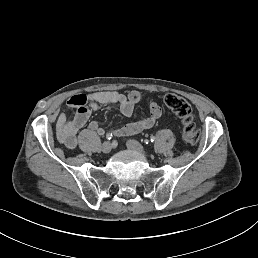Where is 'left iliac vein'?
<instances>
[{
	"label": "left iliac vein",
	"instance_id": "obj_1",
	"mask_svg": "<svg viewBox=\"0 0 258 258\" xmlns=\"http://www.w3.org/2000/svg\"><path fill=\"white\" fill-rule=\"evenodd\" d=\"M126 145L129 149L136 151L137 153H140V156L142 158L148 157V152L146 150H143V147L139 142H136V140H127Z\"/></svg>",
	"mask_w": 258,
	"mask_h": 258
}]
</instances>
